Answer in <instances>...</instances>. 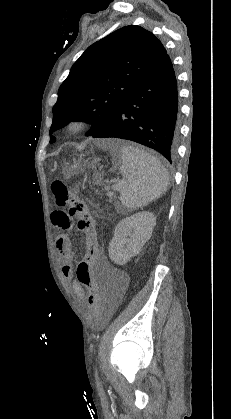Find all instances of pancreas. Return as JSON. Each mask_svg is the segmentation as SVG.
<instances>
[{
	"mask_svg": "<svg viewBox=\"0 0 231 419\" xmlns=\"http://www.w3.org/2000/svg\"><path fill=\"white\" fill-rule=\"evenodd\" d=\"M107 196L109 197V201H111L113 198V193L109 191L107 192Z\"/></svg>",
	"mask_w": 231,
	"mask_h": 419,
	"instance_id": "1",
	"label": "pancreas"
}]
</instances>
